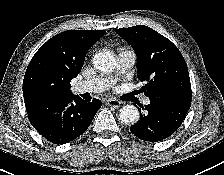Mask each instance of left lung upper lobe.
<instances>
[{"label":"left lung upper lobe","instance_id":"left-lung-upper-lobe-1","mask_svg":"<svg viewBox=\"0 0 224 175\" xmlns=\"http://www.w3.org/2000/svg\"><path fill=\"white\" fill-rule=\"evenodd\" d=\"M116 32L136 52L138 79L146 83L141 90L147 97L192 99L186 62L170 40L144 25Z\"/></svg>","mask_w":224,"mask_h":175}]
</instances>
